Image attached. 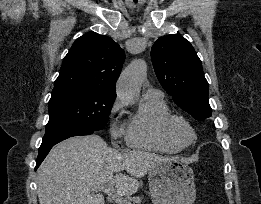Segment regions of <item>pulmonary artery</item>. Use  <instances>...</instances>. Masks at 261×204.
<instances>
[{
	"label": "pulmonary artery",
	"mask_w": 261,
	"mask_h": 204,
	"mask_svg": "<svg viewBox=\"0 0 261 204\" xmlns=\"http://www.w3.org/2000/svg\"><path fill=\"white\" fill-rule=\"evenodd\" d=\"M144 98H154V99L163 98V93L158 89L149 87L144 92Z\"/></svg>",
	"instance_id": "obj_1"
}]
</instances>
